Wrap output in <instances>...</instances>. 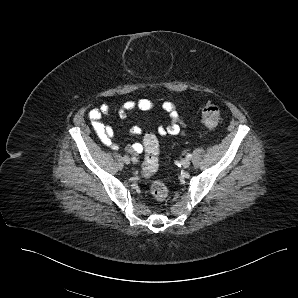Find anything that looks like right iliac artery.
Returning <instances> with one entry per match:
<instances>
[{
    "instance_id": "obj_1",
    "label": "right iliac artery",
    "mask_w": 298,
    "mask_h": 298,
    "mask_svg": "<svg viewBox=\"0 0 298 298\" xmlns=\"http://www.w3.org/2000/svg\"><path fill=\"white\" fill-rule=\"evenodd\" d=\"M131 160H132L133 162H137V158H136V157H132Z\"/></svg>"
}]
</instances>
